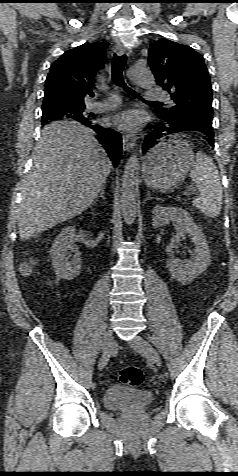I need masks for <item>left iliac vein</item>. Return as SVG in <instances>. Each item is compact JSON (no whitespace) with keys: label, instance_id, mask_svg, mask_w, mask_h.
<instances>
[{"label":"left iliac vein","instance_id":"left-iliac-vein-1","mask_svg":"<svg viewBox=\"0 0 238 476\" xmlns=\"http://www.w3.org/2000/svg\"><path fill=\"white\" fill-rule=\"evenodd\" d=\"M130 345L136 352L146 356L151 362L156 364L158 367L161 366L162 361H161L160 355L155 350V348L151 344H149L145 339H143L141 336L139 335L134 336L133 339L130 341Z\"/></svg>","mask_w":238,"mask_h":476}]
</instances>
